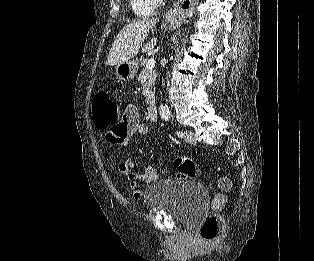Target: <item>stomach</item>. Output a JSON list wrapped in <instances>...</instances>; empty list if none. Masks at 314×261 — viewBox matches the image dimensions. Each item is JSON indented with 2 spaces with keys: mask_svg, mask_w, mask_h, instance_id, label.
Here are the masks:
<instances>
[{
  "mask_svg": "<svg viewBox=\"0 0 314 261\" xmlns=\"http://www.w3.org/2000/svg\"><path fill=\"white\" fill-rule=\"evenodd\" d=\"M137 69L138 62L136 60H128L116 66L115 74L121 81H130L135 77Z\"/></svg>",
  "mask_w": 314,
  "mask_h": 261,
  "instance_id": "stomach-1",
  "label": "stomach"
}]
</instances>
